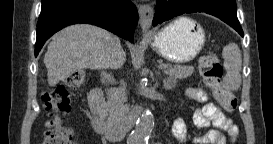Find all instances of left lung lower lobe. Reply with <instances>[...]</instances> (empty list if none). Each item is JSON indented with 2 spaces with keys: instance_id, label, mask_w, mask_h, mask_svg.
I'll return each instance as SVG.
<instances>
[{
  "instance_id": "obj_1",
  "label": "left lung lower lobe",
  "mask_w": 273,
  "mask_h": 144,
  "mask_svg": "<svg viewBox=\"0 0 273 144\" xmlns=\"http://www.w3.org/2000/svg\"><path fill=\"white\" fill-rule=\"evenodd\" d=\"M193 12L216 16L243 36L235 0H157L152 24L156 26L173 17Z\"/></svg>"
}]
</instances>
